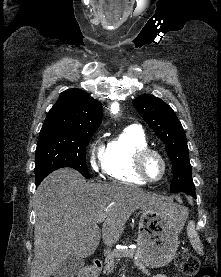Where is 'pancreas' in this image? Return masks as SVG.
<instances>
[{"label":"pancreas","mask_w":221,"mask_h":277,"mask_svg":"<svg viewBox=\"0 0 221 277\" xmlns=\"http://www.w3.org/2000/svg\"><path fill=\"white\" fill-rule=\"evenodd\" d=\"M122 257H129L133 259V262L136 266H138L140 269L145 270V266L138 258V251L129 249V250H114L107 253L106 259H105V272L110 273L114 270L116 266V261H118Z\"/></svg>","instance_id":"1"}]
</instances>
